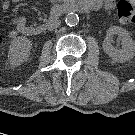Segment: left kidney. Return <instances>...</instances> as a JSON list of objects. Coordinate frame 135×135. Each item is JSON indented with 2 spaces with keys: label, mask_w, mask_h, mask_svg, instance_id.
<instances>
[{
  "label": "left kidney",
  "mask_w": 135,
  "mask_h": 135,
  "mask_svg": "<svg viewBox=\"0 0 135 135\" xmlns=\"http://www.w3.org/2000/svg\"><path fill=\"white\" fill-rule=\"evenodd\" d=\"M118 35L122 41L121 49H117L112 45V37ZM102 48L109 57L116 62H126L135 55V42L132 40L129 32L119 26H111L107 30L106 37L103 41Z\"/></svg>",
  "instance_id": "5707ae66"
}]
</instances>
